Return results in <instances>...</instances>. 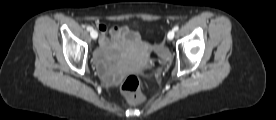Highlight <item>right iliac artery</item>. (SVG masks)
Here are the masks:
<instances>
[{
  "mask_svg": "<svg viewBox=\"0 0 276 120\" xmlns=\"http://www.w3.org/2000/svg\"><path fill=\"white\" fill-rule=\"evenodd\" d=\"M92 27L91 26H87V31H91Z\"/></svg>",
  "mask_w": 276,
  "mask_h": 120,
  "instance_id": "82829eb1",
  "label": "right iliac artery"
}]
</instances>
